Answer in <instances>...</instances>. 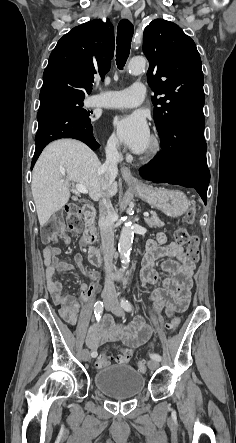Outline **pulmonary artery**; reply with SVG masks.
<instances>
[{"mask_svg":"<svg viewBox=\"0 0 236 443\" xmlns=\"http://www.w3.org/2000/svg\"><path fill=\"white\" fill-rule=\"evenodd\" d=\"M146 88L142 83H135L122 91H101L91 96L87 105L102 108H128L139 105L145 97Z\"/></svg>","mask_w":236,"mask_h":443,"instance_id":"1","label":"pulmonary artery"}]
</instances>
